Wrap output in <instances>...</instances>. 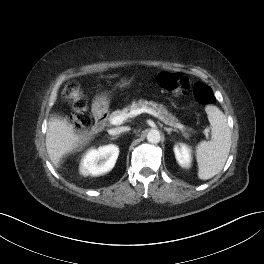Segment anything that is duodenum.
<instances>
[{"instance_id": "duodenum-1", "label": "duodenum", "mask_w": 264, "mask_h": 264, "mask_svg": "<svg viewBox=\"0 0 264 264\" xmlns=\"http://www.w3.org/2000/svg\"><path fill=\"white\" fill-rule=\"evenodd\" d=\"M93 116H94V130H100L105 122L106 111L103 106L99 103L95 104L92 109Z\"/></svg>"}]
</instances>
